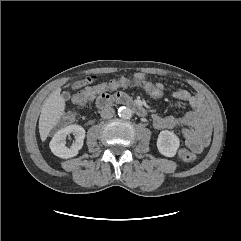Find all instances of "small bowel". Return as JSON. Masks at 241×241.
Masks as SVG:
<instances>
[{"instance_id":"small-bowel-1","label":"small bowel","mask_w":241,"mask_h":241,"mask_svg":"<svg viewBox=\"0 0 241 241\" xmlns=\"http://www.w3.org/2000/svg\"><path fill=\"white\" fill-rule=\"evenodd\" d=\"M138 79L158 85L163 84L150 78L146 74L138 73ZM174 99L189 104L191 110L181 117L154 114L152 123L156 129H173L180 127L187 147L194 153H200L210 142L211 119L207 106L202 97L185 89L173 91Z\"/></svg>"}]
</instances>
